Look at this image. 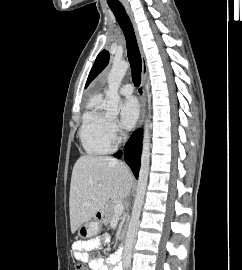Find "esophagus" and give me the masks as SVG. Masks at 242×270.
Wrapping results in <instances>:
<instances>
[{
	"instance_id": "obj_1",
	"label": "esophagus",
	"mask_w": 242,
	"mask_h": 270,
	"mask_svg": "<svg viewBox=\"0 0 242 270\" xmlns=\"http://www.w3.org/2000/svg\"><path fill=\"white\" fill-rule=\"evenodd\" d=\"M125 10L127 12V15L129 17L132 25H133V29L135 32V36H136L137 43H138L139 50H140V54H141V62H142L141 83H140V86L138 87V95H139L140 103H141V114H140V118H139V121L137 124V129H139L143 123V119H144V115H145L146 97H145L144 85H145V80H146V76L148 73V67H147L145 56H144V52L142 50V43H141V39L139 36L138 28H137L133 13L130 10L129 6H127V5H125Z\"/></svg>"
}]
</instances>
